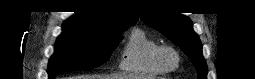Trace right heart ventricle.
<instances>
[{"label":"right heart ventricle","instance_id":"obj_1","mask_svg":"<svg viewBox=\"0 0 255 79\" xmlns=\"http://www.w3.org/2000/svg\"><path fill=\"white\" fill-rule=\"evenodd\" d=\"M159 46V42L145 31L133 30L122 51L120 68L125 72L163 75L165 70L155 60V53Z\"/></svg>","mask_w":255,"mask_h":79}]
</instances>
